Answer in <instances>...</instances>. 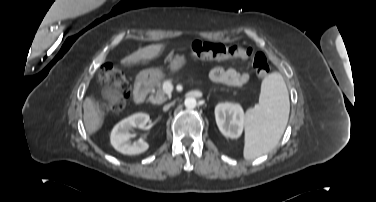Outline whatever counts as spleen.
<instances>
[{
  "mask_svg": "<svg viewBox=\"0 0 376 202\" xmlns=\"http://www.w3.org/2000/svg\"><path fill=\"white\" fill-rule=\"evenodd\" d=\"M289 111V95L282 75L279 72L267 75L261 85L259 103L246 112L245 159H254L277 145Z\"/></svg>",
  "mask_w": 376,
  "mask_h": 202,
  "instance_id": "obj_1",
  "label": "spleen"
}]
</instances>
